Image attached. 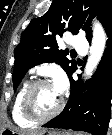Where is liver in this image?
I'll use <instances>...</instances> for the list:
<instances>
[{
	"label": "liver",
	"mask_w": 112,
	"mask_h": 135,
	"mask_svg": "<svg viewBox=\"0 0 112 135\" xmlns=\"http://www.w3.org/2000/svg\"><path fill=\"white\" fill-rule=\"evenodd\" d=\"M14 131H17L16 129L12 128ZM45 131L44 130H40L38 132H19L20 135H42Z\"/></svg>",
	"instance_id": "liver-1"
}]
</instances>
